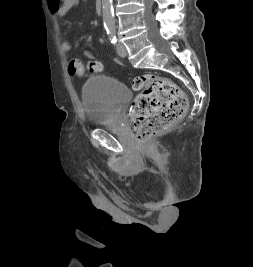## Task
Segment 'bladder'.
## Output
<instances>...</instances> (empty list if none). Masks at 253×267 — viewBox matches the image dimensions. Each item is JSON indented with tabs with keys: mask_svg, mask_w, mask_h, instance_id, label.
I'll list each match as a JSON object with an SVG mask.
<instances>
[{
	"mask_svg": "<svg viewBox=\"0 0 253 267\" xmlns=\"http://www.w3.org/2000/svg\"><path fill=\"white\" fill-rule=\"evenodd\" d=\"M130 98V90L118 80L104 75L89 77L81 90L87 123L96 127L112 123Z\"/></svg>",
	"mask_w": 253,
	"mask_h": 267,
	"instance_id": "1",
	"label": "bladder"
}]
</instances>
